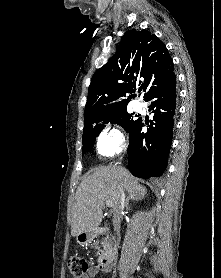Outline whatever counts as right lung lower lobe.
<instances>
[{
  "mask_svg": "<svg viewBox=\"0 0 221 278\" xmlns=\"http://www.w3.org/2000/svg\"><path fill=\"white\" fill-rule=\"evenodd\" d=\"M151 102L153 121L142 131L139 118L130 128L128 167L130 172L143 179L159 177L166 169L176 116V76L174 72L154 86L144 97Z\"/></svg>",
  "mask_w": 221,
  "mask_h": 278,
  "instance_id": "right-lung-lower-lobe-1",
  "label": "right lung lower lobe"
}]
</instances>
